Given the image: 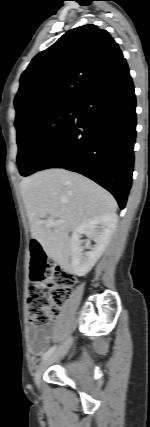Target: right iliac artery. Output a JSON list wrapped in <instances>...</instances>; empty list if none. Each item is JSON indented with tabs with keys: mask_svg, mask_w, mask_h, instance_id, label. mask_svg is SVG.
<instances>
[{
	"mask_svg": "<svg viewBox=\"0 0 150 427\" xmlns=\"http://www.w3.org/2000/svg\"><path fill=\"white\" fill-rule=\"evenodd\" d=\"M55 348H56V346H53V347L49 348V350L46 353H44L43 361L46 360L48 357H50V355L54 352Z\"/></svg>",
	"mask_w": 150,
	"mask_h": 427,
	"instance_id": "82829eb1",
	"label": "right iliac artery"
}]
</instances>
